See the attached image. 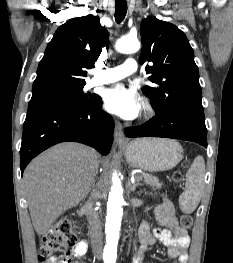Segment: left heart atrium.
I'll list each match as a JSON object with an SVG mask.
<instances>
[{
	"mask_svg": "<svg viewBox=\"0 0 233 263\" xmlns=\"http://www.w3.org/2000/svg\"><path fill=\"white\" fill-rule=\"evenodd\" d=\"M104 107L123 119H133L141 110V99L135 90L118 84L105 92Z\"/></svg>",
	"mask_w": 233,
	"mask_h": 263,
	"instance_id": "left-heart-atrium-1",
	"label": "left heart atrium"
}]
</instances>
